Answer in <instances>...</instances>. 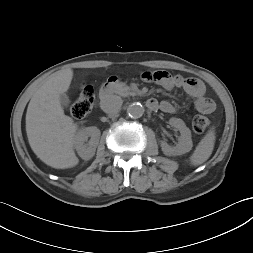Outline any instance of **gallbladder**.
I'll use <instances>...</instances> for the list:
<instances>
[{
	"label": "gallbladder",
	"instance_id": "bac80fb5",
	"mask_svg": "<svg viewBox=\"0 0 253 253\" xmlns=\"http://www.w3.org/2000/svg\"><path fill=\"white\" fill-rule=\"evenodd\" d=\"M59 101L63 107H67L70 103L69 97L65 93L60 94Z\"/></svg>",
	"mask_w": 253,
	"mask_h": 253
}]
</instances>
